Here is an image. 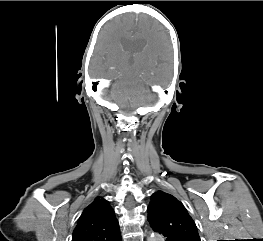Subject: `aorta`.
Listing matches in <instances>:
<instances>
[{"label": "aorta", "instance_id": "1", "mask_svg": "<svg viewBox=\"0 0 263 241\" xmlns=\"http://www.w3.org/2000/svg\"><path fill=\"white\" fill-rule=\"evenodd\" d=\"M147 241H164V239L161 235L152 233L148 236Z\"/></svg>", "mask_w": 263, "mask_h": 241}]
</instances>
